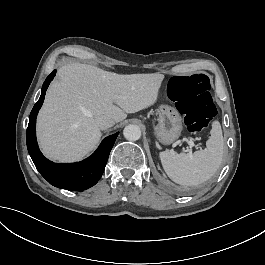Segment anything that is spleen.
Segmentation results:
<instances>
[{"label": "spleen", "mask_w": 265, "mask_h": 265, "mask_svg": "<svg viewBox=\"0 0 265 265\" xmlns=\"http://www.w3.org/2000/svg\"><path fill=\"white\" fill-rule=\"evenodd\" d=\"M206 149L192 155L170 151L160 152V159L168 177L177 184L196 186L209 180L218 170L223 159L224 141L221 125L212 123Z\"/></svg>", "instance_id": "1"}]
</instances>
